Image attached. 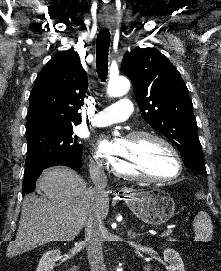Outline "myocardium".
Returning a JSON list of instances; mask_svg holds the SVG:
<instances>
[{
	"label": "myocardium",
	"mask_w": 221,
	"mask_h": 271,
	"mask_svg": "<svg viewBox=\"0 0 221 271\" xmlns=\"http://www.w3.org/2000/svg\"><path fill=\"white\" fill-rule=\"evenodd\" d=\"M168 140H172L169 137L153 131L148 130L142 133H129V137H126V142H133L132 145H138L140 142H155L156 145H160L161 150H169L168 154L170 158L168 160L169 164H172L173 170H175L172 174L166 176H152L145 175L144 173H123L122 170H119V163H116L114 158H109L108 163V171H113V175L119 176L120 179H133V178H147V183H168V178H178L182 175L184 170L181 165H178L179 159H177L178 150H174L171 142Z\"/></svg>",
	"instance_id": "myocardium-1"
}]
</instances>
